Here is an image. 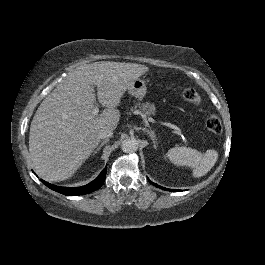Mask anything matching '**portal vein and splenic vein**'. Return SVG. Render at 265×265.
Segmentation results:
<instances>
[{"mask_svg":"<svg viewBox=\"0 0 265 265\" xmlns=\"http://www.w3.org/2000/svg\"><path fill=\"white\" fill-rule=\"evenodd\" d=\"M98 112H99V108H97V107H95L92 110V114L94 116L98 115ZM148 121L152 122V123H155L156 125H161V126H164V127L172 128L175 131H178L180 134L184 133V129L182 127H179L178 125H175L174 123L164 122L163 120H159V119L151 118V117L148 118Z\"/></svg>","mask_w":265,"mask_h":265,"instance_id":"1","label":"portal vein and splenic vein"}]
</instances>
